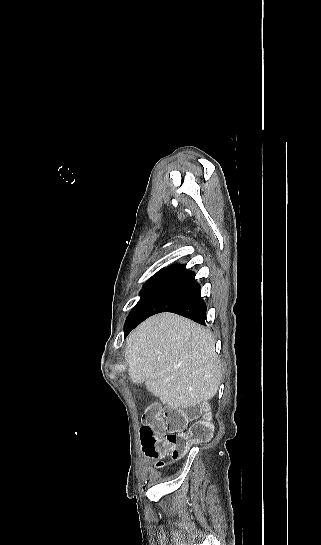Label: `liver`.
I'll return each mask as SVG.
<instances>
[{
    "label": "liver",
    "instance_id": "6515ba94",
    "mask_svg": "<svg viewBox=\"0 0 321 545\" xmlns=\"http://www.w3.org/2000/svg\"><path fill=\"white\" fill-rule=\"evenodd\" d=\"M124 353L132 383H145L172 409L197 407L219 389L222 365L211 331L179 315L160 313L141 323Z\"/></svg>",
    "mask_w": 321,
    "mask_h": 545
}]
</instances>
